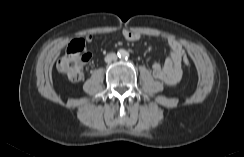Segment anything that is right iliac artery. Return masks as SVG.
I'll list each match as a JSON object with an SVG mask.
<instances>
[{
    "label": "right iliac artery",
    "mask_w": 244,
    "mask_h": 157,
    "mask_svg": "<svg viewBox=\"0 0 244 157\" xmlns=\"http://www.w3.org/2000/svg\"><path fill=\"white\" fill-rule=\"evenodd\" d=\"M123 54V52L120 50L119 52H118V56H121Z\"/></svg>",
    "instance_id": "1"
}]
</instances>
